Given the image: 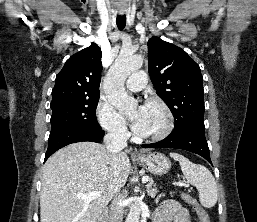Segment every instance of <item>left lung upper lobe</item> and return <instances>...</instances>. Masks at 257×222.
<instances>
[{"label": "left lung upper lobe", "instance_id": "left-lung-upper-lobe-1", "mask_svg": "<svg viewBox=\"0 0 257 222\" xmlns=\"http://www.w3.org/2000/svg\"><path fill=\"white\" fill-rule=\"evenodd\" d=\"M148 68L157 95L170 108L173 131L204 126V89L199 65L180 47L152 37Z\"/></svg>", "mask_w": 257, "mask_h": 222}]
</instances>
